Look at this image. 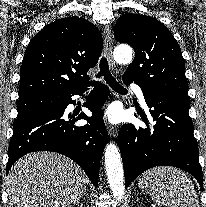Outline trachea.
<instances>
[{"label": "trachea", "mask_w": 206, "mask_h": 207, "mask_svg": "<svg viewBox=\"0 0 206 207\" xmlns=\"http://www.w3.org/2000/svg\"><path fill=\"white\" fill-rule=\"evenodd\" d=\"M99 67H100V71L98 72L96 77L101 78L102 76H104V79L106 80L107 84L116 92L119 93L127 92V90L124 87H122L112 76L109 70L108 62L105 57L101 58Z\"/></svg>", "instance_id": "trachea-1"}]
</instances>
